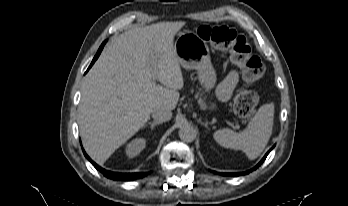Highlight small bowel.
I'll return each instance as SVG.
<instances>
[{
  "mask_svg": "<svg viewBox=\"0 0 348 206\" xmlns=\"http://www.w3.org/2000/svg\"><path fill=\"white\" fill-rule=\"evenodd\" d=\"M239 82V75L235 70L228 73L225 79L220 83L217 89L218 98L225 102L228 101Z\"/></svg>",
  "mask_w": 348,
  "mask_h": 206,
  "instance_id": "obj_1",
  "label": "small bowel"
}]
</instances>
